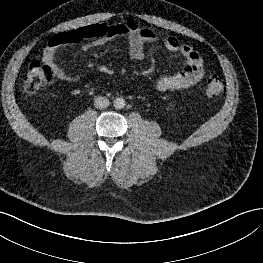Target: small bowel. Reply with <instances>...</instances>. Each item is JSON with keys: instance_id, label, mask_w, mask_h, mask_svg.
Here are the masks:
<instances>
[{"instance_id": "c3829d8e", "label": "small bowel", "mask_w": 263, "mask_h": 263, "mask_svg": "<svg viewBox=\"0 0 263 263\" xmlns=\"http://www.w3.org/2000/svg\"><path fill=\"white\" fill-rule=\"evenodd\" d=\"M118 36L127 38L129 55L134 60L144 58L145 44L156 43L160 40L152 29L140 27L129 20H122L113 24H92L53 35L43 51L42 61L52 69L59 80L74 82L79 79V75L66 71L56 62V50L61 46L77 43H82V48L89 50L93 47L104 45ZM162 43L168 51L178 53L184 57L186 66L181 72L161 77L156 85L159 91L177 92L201 81L204 76L203 59L192 45L181 43L173 36L163 38Z\"/></svg>"}]
</instances>
